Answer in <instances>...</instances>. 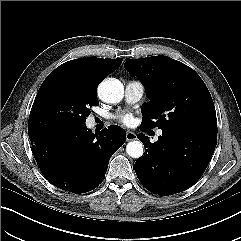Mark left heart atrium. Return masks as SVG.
<instances>
[{
	"mask_svg": "<svg viewBox=\"0 0 241 241\" xmlns=\"http://www.w3.org/2000/svg\"><path fill=\"white\" fill-rule=\"evenodd\" d=\"M119 121L125 125H131L133 123V118L129 114H124L118 117Z\"/></svg>",
	"mask_w": 241,
	"mask_h": 241,
	"instance_id": "obj_1",
	"label": "left heart atrium"
}]
</instances>
